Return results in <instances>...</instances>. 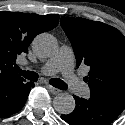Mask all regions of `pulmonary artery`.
Segmentation results:
<instances>
[{
  "label": "pulmonary artery",
  "instance_id": "e3ab8cb5",
  "mask_svg": "<svg viewBox=\"0 0 125 125\" xmlns=\"http://www.w3.org/2000/svg\"><path fill=\"white\" fill-rule=\"evenodd\" d=\"M74 53L70 46H61L56 54L49 58L41 67V73L44 75H53L61 72L67 81V85L79 96H85L88 93L87 86L82 83L73 73Z\"/></svg>",
  "mask_w": 125,
  "mask_h": 125
}]
</instances>
